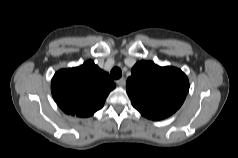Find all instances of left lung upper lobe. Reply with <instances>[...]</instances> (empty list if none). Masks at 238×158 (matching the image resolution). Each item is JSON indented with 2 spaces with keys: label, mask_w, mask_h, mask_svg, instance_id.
I'll return each mask as SVG.
<instances>
[{
  "label": "left lung upper lobe",
  "mask_w": 238,
  "mask_h": 158,
  "mask_svg": "<svg viewBox=\"0 0 238 158\" xmlns=\"http://www.w3.org/2000/svg\"><path fill=\"white\" fill-rule=\"evenodd\" d=\"M127 80L132 105L148 119L161 120L180 108L189 91L187 76L174 67L140 61Z\"/></svg>",
  "instance_id": "1"
}]
</instances>
